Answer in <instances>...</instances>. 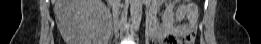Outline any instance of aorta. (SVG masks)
Returning a JSON list of instances; mask_svg holds the SVG:
<instances>
[{"instance_id": "obj_1", "label": "aorta", "mask_w": 261, "mask_h": 44, "mask_svg": "<svg viewBox=\"0 0 261 44\" xmlns=\"http://www.w3.org/2000/svg\"><path fill=\"white\" fill-rule=\"evenodd\" d=\"M142 5L143 0H130L131 20L135 32L139 29L140 26L142 18Z\"/></svg>"}]
</instances>
